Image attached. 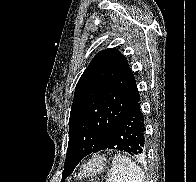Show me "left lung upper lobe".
Instances as JSON below:
<instances>
[{
  "label": "left lung upper lobe",
  "mask_w": 196,
  "mask_h": 182,
  "mask_svg": "<svg viewBox=\"0 0 196 182\" xmlns=\"http://www.w3.org/2000/svg\"><path fill=\"white\" fill-rule=\"evenodd\" d=\"M138 98L127 59L115 48L99 52L76 86L66 156L74 147L91 153ZM65 162L62 182L77 165Z\"/></svg>",
  "instance_id": "1"
}]
</instances>
